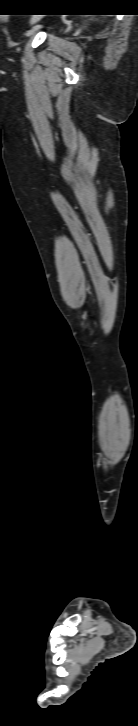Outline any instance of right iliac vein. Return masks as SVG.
I'll return each mask as SVG.
<instances>
[{
  "label": "right iliac vein",
  "mask_w": 138,
  "mask_h": 726,
  "mask_svg": "<svg viewBox=\"0 0 138 726\" xmlns=\"http://www.w3.org/2000/svg\"><path fill=\"white\" fill-rule=\"evenodd\" d=\"M38 20H39V18H38V17H33V18L31 19V24H34V23H35V22H37Z\"/></svg>",
  "instance_id": "1"
}]
</instances>
